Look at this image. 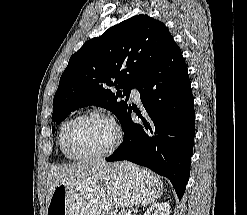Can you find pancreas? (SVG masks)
<instances>
[{
  "label": "pancreas",
  "mask_w": 247,
  "mask_h": 215,
  "mask_svg": "<svg viewBox=\"0 0 247 215\" xmlns=\"http://www.w3.org/2000/svg\"><path fill=\"white\" fill-rule=\"evenodd\" d=\"M107 215H126V211L121 210V211H111Z\"/></svg>",
  "instance_id": "1"
}]
</instances>
